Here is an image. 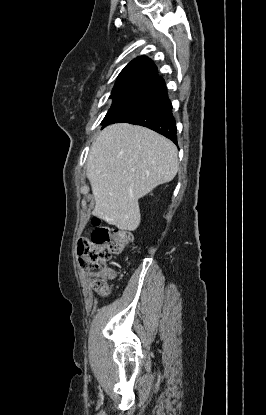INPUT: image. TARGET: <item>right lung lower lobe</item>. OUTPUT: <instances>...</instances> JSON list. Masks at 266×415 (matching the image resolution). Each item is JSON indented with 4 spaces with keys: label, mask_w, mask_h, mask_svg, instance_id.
<instances>
[{
    "label": "right lung lower lobe",
    "mask_w": 266,
    "mask_h": 415,
    "mask_svg": "<svg viewBox=\"0 0 266 415\" xmlns=\"http://www.w3.org/2000/svg\"><path fill=\"white\" fill-rule=\"evenodd\" d=\"M119 122L150 128L177 144L176 123L172 115V105L167 96L166 86L118 112L104 126Z\"/></svg>",
    "instance_id": "1"
}]
</instances>
